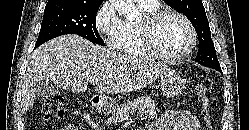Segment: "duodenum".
<instances>
[{
    "mask_svg": "<svg viewBox=\"0 0 249 130\" xmlns=\"http://www.w3.org/2000/svg\"><path fill=\"white\" fill-rule=\"evenodd\" d=\"M92 103H93L95 108L98 109L100 107V99L99 98H97V97L93 98Z\"/></svg>",
    "mask_w": 249,
    "mask_h": 130,
    "instance_id": "410a0bca",
    "label": "duodenum"
}]
</instances>
